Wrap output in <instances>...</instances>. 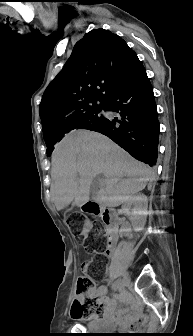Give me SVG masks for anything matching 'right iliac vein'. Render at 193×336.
<instances>
[{
  "mask_svg": "<svg viewBox=\"0 0 193 336\" xmlns=\"http://www.w3.org/2000/svg\"><path fill=\"white\" fill-rule=\"evenodd\" d=\"M130 284V278L129 276L126 274L123 279L120 281V285H119V289L120 290H124L126 287H128Z\"/></svg>",
  "mask_w": 193,
  "mask_h": 336,
  "instance_id": "1",
  "label": "right iliac vein"
}]
</instances>
